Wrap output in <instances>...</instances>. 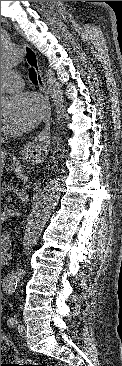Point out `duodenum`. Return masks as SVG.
<instances>
[{"instance_id": "obj_1", "label": "duodenum", "mask_w": 122, "mask_h": 366, "mask_svg": "<svg viewBox=\"0 0 122 366\" xmlns=\"http://www.w3.org/2000/svg\"><path fill=\"white\" fill-rule=\"evenodd\" d=\"M11 250V242L8 236L1 237V253L10 252ZM18 278V275L15 276V279Z\"/></svg>"}]
</instances>
